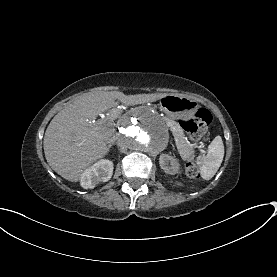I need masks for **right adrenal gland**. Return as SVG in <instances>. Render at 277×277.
<instances>
[{
	"mask_svg": "<svg viewBox=\"0 0 277 277\" xmlns=\"http://www.w3.org/2000/svg\"><path fill=\"white\" fill-rule=\"evenodd\" d=\"M112 145H114V142H112V143L109 145V147H111Z\"/></svg>",
	"mask_w": 277,
	"mask_h": 277,
	"instance_id": "right-adrenal-gland-1",
	"label": "right adrenal gland"
}]
</instances>
